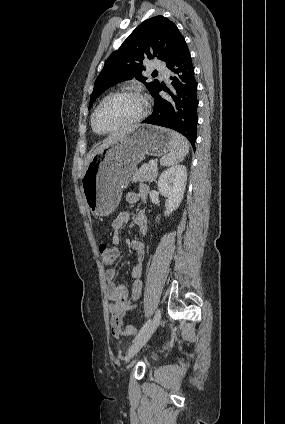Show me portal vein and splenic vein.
Segmentation results:
<instances>
[{"mask_svg": "<svg viewBox=\"0 0 285 424\" xmlns=\"http://www.w3.org/2000/svg\"><path fill=\"white\" fill-rule=\"evenodd\" d=\"M155 162L154 161H150V164H154Z\"/></svg>", "mask_w": 285, "mask_h": 424, "instance_id": "portal-vein-and-splenic-vein-1", "label": "portal vein and splenic vein"}]
</instances>
